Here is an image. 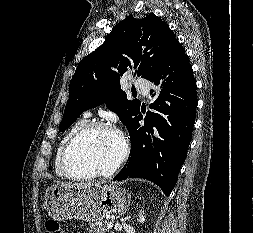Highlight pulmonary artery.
Returning a JSON list of instances; mask_svg holds the SVG:
<instances>
[{
	"label": "pulmonary artery",
	"instance_id": "e3ab8cb5",
	"mask_svg": "<svg viewBox=\"0 0 253 233\" xmlns=\"http://www.w3.org/2000/svg\"><path fill=\"white\" fill-rule=\"evenodd\" d=\"M136 90L144 97H148L149 95V84L145 80H137L135 82ZM91 113L89 111H86L84 113V116L88 117Z\"/></svg>",
	"mask_w": 253,
	"mask_h": 233
}]
</instances>
